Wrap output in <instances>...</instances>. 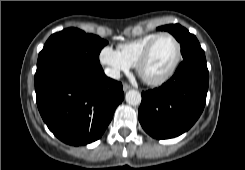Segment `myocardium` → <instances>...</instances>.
<instances>
[{"label":"myocardium","instance_id":"1","mask_svg":"<svg viewBox=\"0 0 245 170\" xmlns=\"http://www.w3.org/2000/svg\"><path fill=\"white\" fill-rule=\"evenodd\" d=\"M170 37L176 44L177 47V53H176V57L172 63V65L170 66V68L159 78L156 79H149L146 78L143 75L142 72V67L144 65V63L147 61V59L149 58L153 47L155 46V44L157 43V41L162 38V37ZM181 57H182V49H181V44L179 42V40L175 37V35L169 33V32H162L159 33L156 37H154L148 44L147 46L144 48V50L142 51V53L139 55L136 64H135V68L136 71L138 73V75L141 77V79L147 83L148 85L151 86H160L162 84H164L165 82H167L176 72L180 61H181Z\"/></svg>","mask_w":245,"mask_h":170}]
</instances>
